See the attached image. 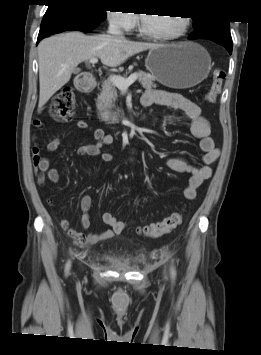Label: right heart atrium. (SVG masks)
<instances>
[{
    "label": "right heart atrium",
    "mask_w": 261,
    "mask_h": 355,
    "mask_svg": "<svg viewBox=\"0 0 261 355\" xmlns=\"http://www.w3.org/2000/svg\"><path fill=\"white\" fill-rule=\"evenodd\" d=\"M107 19L113 27L123 32L134 30L138 22L136 14L129 10L109 11Z\"/></svg>",
    "instance_id": "1"
}]
</instances>
